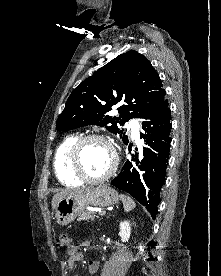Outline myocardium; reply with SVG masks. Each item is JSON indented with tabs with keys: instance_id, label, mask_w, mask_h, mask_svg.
<instances>
[{
	"instance_id": "1",
	"label": "myocardium",
	"mask_w": 221,
	"mask_h": 276,
	"mask_svg": "<svg viewBox=\"0 0 221 276\" xmlns=\"http://www.w3.org/2000/svg\"><path fill=\"white\" fill-rule=\"evenodd\" d=\"M101 141L105 143L112 151L113 162L111 167L101 176L91 177L85 173L82 168L80 153L83 145L89 141ZM68 163L72 173L81 181L88 183H101L108 180L117 170L119 156L112 142L101 134H86L78 137L72 144L68 153Z\"/></svg>"
}]
</instances>
